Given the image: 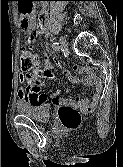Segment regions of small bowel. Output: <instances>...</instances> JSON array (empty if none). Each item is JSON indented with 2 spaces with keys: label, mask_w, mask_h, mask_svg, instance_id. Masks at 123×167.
Returning a JSON list of instances; mask_svg holds the SVG:
<instances>
[{
  "label": "small bowel",
  "mask_w": 123,
  "mask_h": 167,
  "mask_svg": "<svg viewBox=\"0 0 123 167\" xmlns=\"http://www.w3.org/2000/svg\"><path fill=\"white\" fill-rule=\"evenodd\" d=\"M32 1H17V5H19V14L22 15L21 24L24 29L31 30L33 25V21L30 18V14L34 5H31ZM42 31H33L31 35H29L26 39L28 45H33L35 42V37L41 34ZM52 57L45 56L43 68H36L32 73H22L20 75V81L24 83V86L19 89L18 95L20 99L29 103H40L47 102L48 97L43 90V83L39 80L40 76H44L47 78H51L52 74ZM62 73L68 77V80L71 83H81L83 85L92 86L95 92L92 94L90 99H63L58 93H54L51 96V102L54 105L61 107H70V108H79L84 112L92 111L99 101V94L102 90L101 83L97 80L95 75L91 72H84V76L80 79L76 76L69 75V72L66 68H61Z\"/></svg>",
  "instance_id": "c3829d8e"
}]
</instances>
